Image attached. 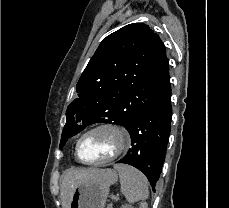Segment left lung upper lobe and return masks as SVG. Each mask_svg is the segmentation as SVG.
<instances>
[{
	"mask_svg": "<svg viewBox=\"0 0 229 208\" xmlns=\"http://www.w3.org/2000/svg\"><path fill=\"white\" fill-rule=\"evenodd\" d=\"M170 87L169 62L159 36L143 23L126 25L99 45L67 108L60 142L93 123L125 128Z\"/></svg>",
	"mask_w": 229,
	"mask_h": 208,
	"instance_id": "5c2ea615",
	"label": "left lung upper lobe"
}]
</instances>
